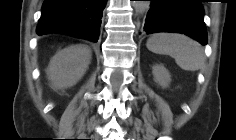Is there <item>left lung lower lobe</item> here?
<instances>
[{"label":"left lung lower lobe","mask_w":236,"mask_h":140,"mask_svg":"<svg viewBox=\"0 0 236 140\" xmlns=\"http://www.w3.org/2000/svg\"><path fill=\"white\" fill-rule=\"evenodd\" d=\"M144 31L184 33L207 44V33L203 21L202 0H151Z\"/></svg>","instance_id":"0a47b994"}]
</instances>
